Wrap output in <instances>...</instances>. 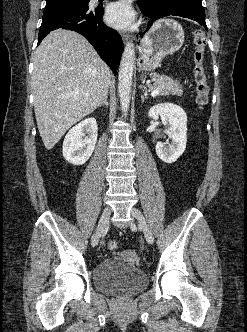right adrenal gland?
<instances>
[{"label":"right adrenal gland","mask_w":247,"mask_h":332,"mask_svg":"<svg viewBox=\"0 0 247 332\" xmlns=\"http://www.w3.org/2000/svg\"><path fill=\"white\" fill-rule=\"evenodd\" d=\"M107 99H108V95L105 96L104 100L100 103L99 107H102L103 105L108 107Z\"/></svg>","instance_id":"obj_1"}]
</instances>
